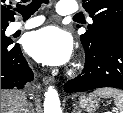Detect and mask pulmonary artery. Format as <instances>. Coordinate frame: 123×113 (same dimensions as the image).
<instances>
[{
    "instance_id": "e3ab8cb5",
    "label": "pulmonary artery",
    "mask_w": 123,
    "mask_h": 113,
    "mask_svg": "<svg viewBox=\"0 0 123 113\" xmlns=\"http://www.w3.org/2000/svg\"><path fill=\"white\" fill-rule=\"evenodd\" d=\"M57 12L61 15L72 14L77 11L78 6L76 2L73 1H59L57 4ZM44 21L42 16L32 17L24 22H16L12 25V32L18 30H29L41 25Z\"/></svg>"
}]
</instances>
